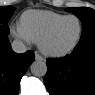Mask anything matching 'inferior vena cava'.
<instances>
[{
    "instance_id": "1",
    "label": "inferior vena cava",
    "mask_w": 95,
    "mask_h": 95,
    "mask_svg": "<svg viewBox=\"0 0 95 95\" xmlns=\"http://www.w3.org/2000/svg\"><path fill=\"white\" fill-rule=\"evenodd\" d=\"M11 47H12L13 51L16 52V53H24V52L27 51V47L20 40H14L11 43Z\"/></svg>"
}]
</instances>
